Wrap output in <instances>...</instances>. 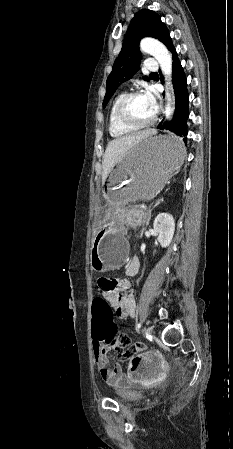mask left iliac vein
<instances>
[{"label": "left iliac vein", "instance_id": "1", "mask_svg": "<svg viewBox=\"0 0 233 449\" xmlns=\"http://www.w3.org/2000/svg\"><path fill=\"white\" fill-rule=\"evenodd\" d=\"M145 333L146 335H151L153 333V328L151 326L147 327Z\"/></svg>", "mask_w": 233, "mask_h": 449}]
</instances>
